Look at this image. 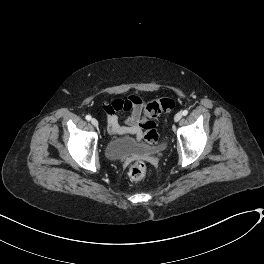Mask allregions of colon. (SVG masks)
I'll use <instances>...</instances> for the list:
<instances>
[{
	"label": "colon",
	"mask_w": 264,
	"mask_h": 264,
	"mask_svg": "<svg viewBox=\"0 0 264 264\" xmlns=\"http://www.w3.org/2000/svg\"><path fill=\"white\" fill-rule=\"evenodd\" d=\"M174 107V100L170 98H159L150 101L145 108V121L143 122V139L147 143H157L159 139L156 130L155 119L162 113L170 111ZM146 174V166L138 161L131 165L129 177L133 181L142 179Z\"/></svg>",
	"instance_id": "colon-1"
}]
</instances>
